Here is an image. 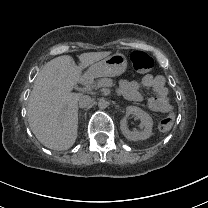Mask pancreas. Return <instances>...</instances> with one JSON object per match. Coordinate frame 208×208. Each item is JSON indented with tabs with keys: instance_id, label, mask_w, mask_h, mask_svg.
<instances>
[{
	"instance_id": "1",
	"label": "pancreas",
	"mask_w": 208,
	"mask_h": 208,
	"mask_svg": "<svg viewBox=\"0 0 208 208\" xmlns=\"http://www.w3.org/2000/svg\"><path fill=\"white\" fill-rule=\"evenodd\" d=\"M108 81L109 80L107 78H102L97 81H91V82H90V80H87L85 82V85L87 86L88 90H92V89H97V88L101 87L103 83H107Z\"/></svg>"
}]
</instances>
